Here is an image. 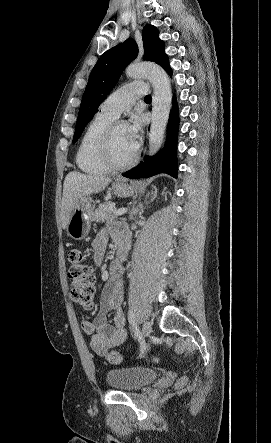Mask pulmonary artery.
Wrapping results in <instances>:
<instances>
[{
  "label": "pulmonary artery",
  "mask_w": 271,
  "mask_h": 443,
  "mask_svg": "<svg viewBox=\"0 0 271 443\" xmlns=\"http://www.w3.org/2000/svg\"><path fill=\"white\" fill-rule=\"evenodd\" d=\"M144 94L139 82L127 84L112 92L100 105L99 112L117 118L123 111L132 107L135 100Z\"/></svg>",
  "instance_id": "obj_1"
}]
</instances>
